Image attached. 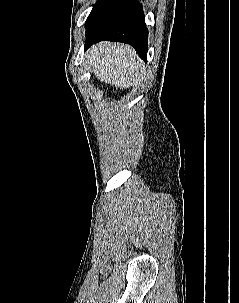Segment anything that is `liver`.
I'll return each instance as SVG.
<instances>
[{"instance_id":"obj_1","label":"liver","mask_w":239,"mask_h":303,"mask_svg":"<svg viewBox=\"0 0 239 303\" xmlns=\"http://www.w3.org/2000/svg\"><path fill=\"white\" fill-rule=\"evenodd\" d=\"M92 73L101 82L116 89L134 86L142 72V62L134 49L126 44L101 42L86 53Z\"/></svg>"}]
</instances>
